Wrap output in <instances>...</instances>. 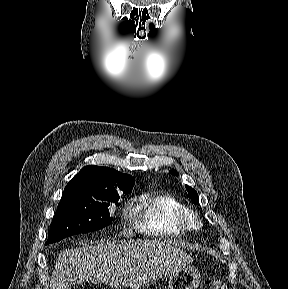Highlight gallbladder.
I'll list each match as a JSON object with an SVG mask.
<instances>
[{"instance_id":"1","label":"gallbladder","mask_w":288,"mask_h":289,"mask_svg":"<svg viewBox=\"0 0 288 289\" xmlns=\"http://www.w3.org/2000/svg\"><path fill=\"white\" fill-rule=\"evenodd\" d=\"M83 282H84V279L81 276L75 274L74 272L69 274V283L70 284H78L79 285V284H82Z\"/></svg>"}]
</instances>
